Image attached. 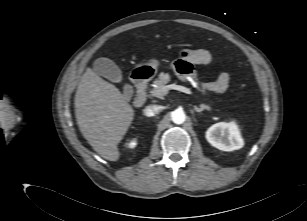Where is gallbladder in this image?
Here are the masks:
<instances>
[{"label":"gallbladder","instance_id":"1","mask_svg":"<svg viewBox=\"0 0 307 221\" xmlns=\"http://www.w3.org/2000/svg\"><path fill=\"white\" fill-rule=\"evenodd\" d=\"M94 70L97 74L105 77L114 83H122L123 77L119 67L108 58H98L94 62ZM133 94V87L130 84H124L125 98H131Z\"/></svg>","mask_w":307,"mask_h":221}]
</instances>
